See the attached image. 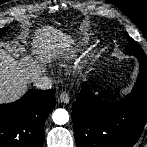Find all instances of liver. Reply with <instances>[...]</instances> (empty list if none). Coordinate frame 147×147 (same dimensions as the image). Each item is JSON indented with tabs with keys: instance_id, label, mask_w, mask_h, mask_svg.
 <instances>
[{
	"instance_id": "1",
	"label": "liver",
	"mask_w": 147,
	"mask_h": 147,
	"mask_svg": "<svg viewBox=\"0 0 147 147\" xmlns=\"http://www.w3.org/2000/svg\"><path fill=\"white\" fill-rule=\"evenodd\" d=\"M71 43L69 35L47 26L37 30L33 46L45 61L52 52L69 49ZM42 73V66L29 56L18 61L0 47V103L18 99L26 91L28 83L36 81Z\"/></svg>"
}]
</instances>
